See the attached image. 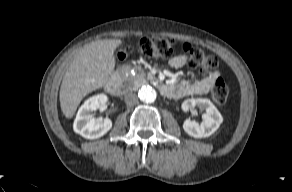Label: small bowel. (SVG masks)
<instances>
[{"instance_id":"c3829d8e","label":"small bowel","mask_w":292,"mask_h":192,"mask_svg":"<svg viewBox=\"0 0 292 192\" xmlns=\"http://www.w3.org/2000/svg\"><path fill=\"white\" fill-rule=\"evenodd\" d=\"M187 60L186 55H176L170 59L169 64L174 68H180L187 63ZM218 77H220V73L213 71L199 79L183 81L177 85H168V89L164 94L172 98L205 94L213 86Z\"/></svg>"}]
</instances>
